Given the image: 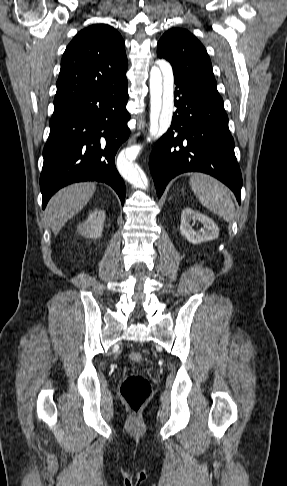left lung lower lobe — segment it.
Returning a JSON list of instances; mask_svg holds the SVG:
<instances>
[{
	"instance_id": "left-lung-lower-lobe-1",
	"label": "left lung lower lobe",
	"mask_w": 287,
	"mask_h": 486,
	"mask_svg": "<svg viewBox=\"0 0 287 486\" xmlns=\"http://www.w3.org/2000/svg\"><path fill=\"white\" fill-rule=\"evenodd\" d=\"M174 78L177 109L149 159L158 197L176 175L198 171L226 184L240 203L242 176L223 102L184 77Z\"/></svg>"
}]
</instances>
